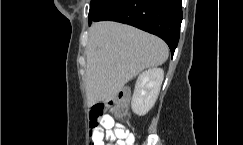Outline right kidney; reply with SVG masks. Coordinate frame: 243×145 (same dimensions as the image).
<instances>
[{
    "label": "right kidney",
    "mask_w": 243,
    "mask_h": 145,
    "mask_svg": "<svg viewBox=\"0 0 243 145\" xmlns=\"http://www.w3.org/2000/svg\"><path fill=\"white\" fill-rule=\"evenodd\" d=\"M164 79L161 68H151L142 72L136 81L131 101L132 111L143 116L154 106Z\"/></svg>",
    "instance_id": "obj_1"
}]
</instances>
